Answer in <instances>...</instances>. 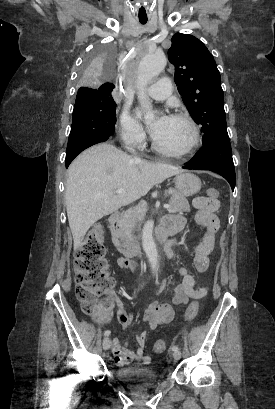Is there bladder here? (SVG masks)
Listing matches in <instances>:
<instances>
[{"mask_svg": "<svg viewBox=\"0 0 275 409\" xmlns=\"http://www.w3.org/2000/svg\"><path fill=\"white\" fill-rule=\"evenodd\" d=\"M117 382H124L130 389L150 387L162 380L160 374L155 373L152 367L136 364L116 368Z\"/></svg>", "mask_w": 275, "mask_h": 409, "instance_id": "31cf9c89", "label": "bladder"}]
</instances>
